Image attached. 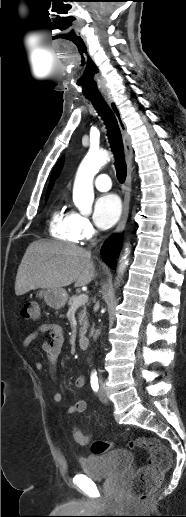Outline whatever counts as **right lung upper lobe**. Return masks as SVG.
I'll return each instance as SVG.
<instances>
[{
  "instance_id": "cb5924a9",
  "label": "right lung upper lobe",
  "mask_w": 186,
  "mask_h": 517,
  "mask_svg": "<svg viewBox=\"0 0 186 517\" xmlns=\"http://www.w3.org/2000/svg\"><path fill=\"white\" fill-rule=\"evenodd\" d=\"M62 163H63V159H60V160L56 163V165L54 166L53 171H52V174H51V178H50V182H49V186H48L47 192H48V191H51V188H52L53 182H54V180L58 177V175H59V173H60V170H61V167H62Z\"/></svg>"
}]
</instances>
